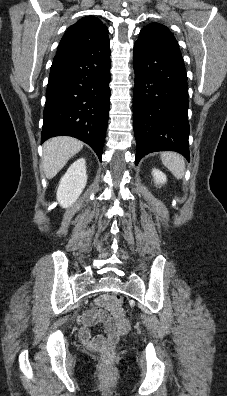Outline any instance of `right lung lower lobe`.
<instances>
[{
	"label": "right lung lower lobe",
	"mask_w": 227,
	"mask_h": 396,
	"mask_svg": "<svg viewBox=\"0 0 227 396\" xmlns=\"http://www.w3.org/2000/svg\"><path fill=\"white\" fill-rule=\"evenodd\" d=\"M110 41L56 55L46 91L41 142L67 135L90 145L100 161L110 106Z\"/></svg>",
	"instance_id": "98d812e1"
}]
</instances>
